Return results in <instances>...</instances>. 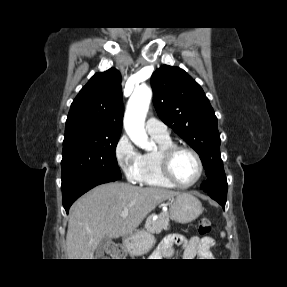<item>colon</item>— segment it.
<instances>
[{"mask_svg":"<svg viewBox=\"0 0 287 287\" xmlns=\"http://www.w3.org/2000/svg\"><path fill=\"white\" fill-rule=\"evenodd\" d=\"M211 231V221L208 218H201L198 223V232L200 235L205 236ZM117 254L120 255L121 251L117 250Z\"/></svg>","mask_w":287,"mask_h":287,"instance_id":"colon-1","label":"colon"}]
</instances>
